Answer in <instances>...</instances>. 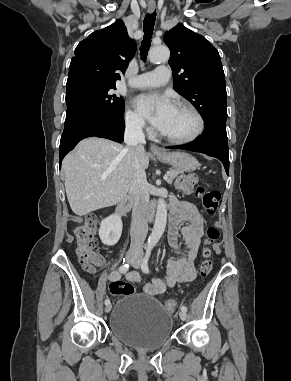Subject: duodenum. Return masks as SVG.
<instances>
[{
  "label": "duodenum",
  "instance_id": "410a0bca",
  "mask_svg": "<svg viewBox=\"0 0 291 381\" xmlns=\"http://www.w3.org/2000/svg\"><path fill=\"white\" fill-rule=\"evenodd\" d=\"M132 199L130 197L123 198L116 207V214L122 215L132 206Z\"/></svg>",
  "mask_w": 291,
  "mask_h": 381
}]
</instances>
